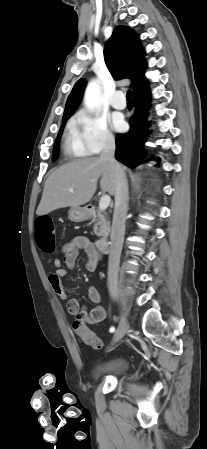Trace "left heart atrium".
<instances>
[{"label": "left heart atrium", "instance_id": "1", "mask_svg": "<svg viewBox=\"0 0 207 449\" xmlns=\"http://www.w3.org/2000/svg\"><path fill=\"white\" fill-rule=\"evenodd\" d=\"M112 125L117 131H122L125 127V121L120 115H115L112 119Z\"/></svg>", "mask_w": 207, "mask_h": 449}]
</instances>
